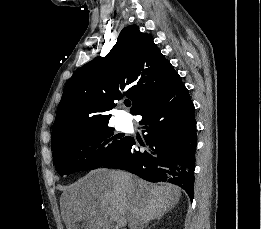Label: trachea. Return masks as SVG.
<instances>
[{"mask_svg": "<svg viewBox=\"0 0 261 229\" xmlns=\"http://www.w3.org/2000/svg\"><path fill=\"white\" fill-rule=\"evenodd\" d=\"M125 105L127 106V107H130L131 106V102H130V100H125Z\"/></svg>", "mask_w": 261, "mask_h": 229, "instance_id": "3493384b", "label": "trachea"}]
</instances>
